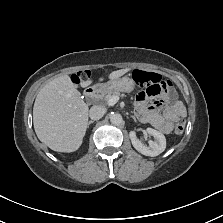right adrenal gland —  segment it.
Instances as JSON below:
<instances>
[{
  "instance_id": "2a0ac1e0",
  "label": "right adrenal gland",
  "mask_w": 223,
  "mask_h": 223,
  "mask_svg": "<svg viewBox=\"0 0 223 223\" xmlns=\"http://www.w3.org/2000/svg\"><path fill=\"white\" fill-rule=\"evenodd\" d=\"M91 123H94V120H90V121L87 123V128H89V125H90Z\"/></svg>"
}]
</instances>
